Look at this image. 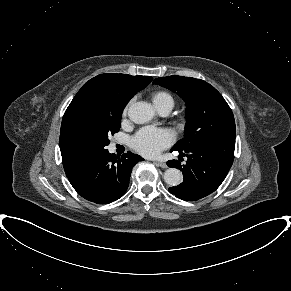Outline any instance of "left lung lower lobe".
<instances>
[{"label":"left lung lower lobe","mask_w":291,"mask_h":291,"mask_svg":"<svg viewBox=\"0 0 291 291\" xmlns=\"http://www.w3.org/2000/svg\"><path fill=\"white\" fill-rule=\"evenodd\" d=\"M235 140H214L175 150L187 157L181 165L178 160L167 162L169 167L182 170L184 180L169 192L185 201H196L214 192L228 174L234 160Z\"/></svg>","instance_id":"1"}]
</instances>
